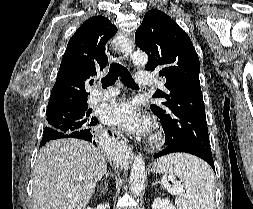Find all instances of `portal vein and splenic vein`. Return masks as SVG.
Here are the masks:
<instances>
[{"mask_svg": "<svg viewBox=\"0 0 253 209\" xmlns=\"http://www.w3.org/2000/svg\"><path fill=\"white\" fill-rule=\"evenodd\" d=\"M162 183L164 187L167 188V190L173 195L179 194L180 192L183 191V189L181 188H172L166 178L162 179Z\"/></svg>", "mask_w": 253, "mask_h": 209, "instance_id": "portal-vein-and-splenic-vein-1", "label": "portal vein and splenic vein"}]
</instances>
